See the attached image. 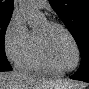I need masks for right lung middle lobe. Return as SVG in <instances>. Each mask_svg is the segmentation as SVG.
Here are the masks:
<instances>
[{
    "instance_id": "obj_1",
    "label": "right lung middle lobe",
    "mask_w": 89,
    "mask_h": 89,
    "mask_svg": "<svg viewBox=\"0 0 89 89\" xmlns=\"http://www.w3.org/2000/svg\"><path fill=\"white\" fill-rule=\"evenodd\" d=\"M13 12L0 11V59H3L5 55L4 51V36L6 28L9 24Z\"/></svg>"
}]
</instances>
